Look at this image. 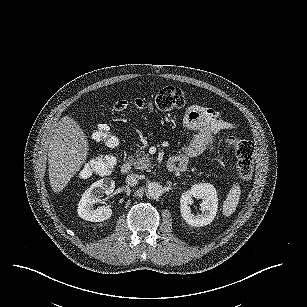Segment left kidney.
Masks as SVG:
<instances>
[{"mask_svg":"<svg viewBox=\"0 0 307 307\" xmlns=\"http://www.w3.org/2000/svg\"><path fill=\"white\" fill-rule=\"evenodd\" d=\"M200 201L201 214H194L188 205L191 198ZM183 219L191 226H205L213 222L218 212V191L213 184L207 182L195 183L190 191L183 193L180 199Z\"/></svg>","mask_w":307,"mask_h":307,"instance_id":"5707ae66","label":"left kidney"}]
</instances>
